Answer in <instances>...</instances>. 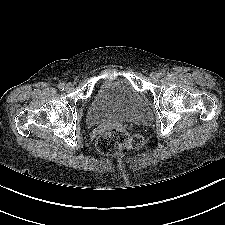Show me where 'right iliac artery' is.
I'll use <instances>...</instances> for the list:
<instances>
[{"instance_id": "obj_1", "label": "right iliac artery", "mask_w": 225, "mask_h": 225, "mask_svg": "<svg viewBox=\"0 0 225 225\" xmlns=\"http://www.w3.org/2000/svg\"><path fill=\"white\" fill-rule=\"evenodd\" d=\"M58 88H59L61 91H63V90L65 89V84H64V83H60V84L58 85Z\"/></svg>"}]
</instances>
